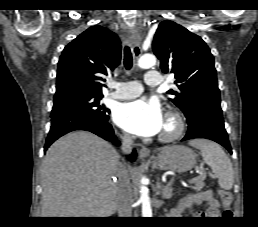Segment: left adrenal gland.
<instances>
[{
  "label": "left adrenal gland",
  "mask_w": 258,
  "mask_h": 227,
  "mask_svg": "<svg viewBox=\"0 0 258 227\" xmlns=\"http://www.w3.org/2000/svg\"><path fill=\"white\" fill-rule=\"evenodd\" d=\"M172 181L173 179L165 186H162L161 183L158 181L156 183V189H157V194H162V197L165 199H169L172 196Z\"/></svg>",
  "instance_id": "obj_1"
}]
</instances>
